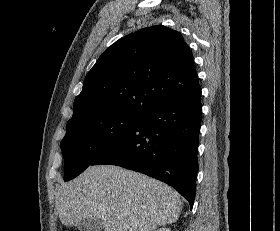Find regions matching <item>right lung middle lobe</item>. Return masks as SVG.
<instances>
[{
	"label": "right lung middle lobe",
	"mask_w": 280,
	"mask_h": 231,
	"mask_svg": "<svg viewBox=\"0 0 280 231\" xmlns=\"http://www.w3.org/2000/svg\"><path fill=\"white\" fill-rule=\"evenodd\" d=\"M141 117L112 115L69 120L61 143L65 161L64 180L69 181L82 173L132 131Z\"/></svg>",
	"instance_id": "right-lung-middle-lobe-1"
}]
</instances>
